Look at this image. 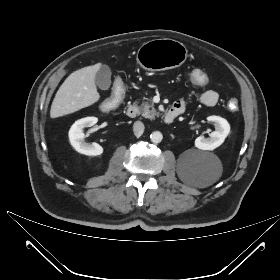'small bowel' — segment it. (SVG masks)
I'll use <instances>...</instances> for the list:
<instances>
[{"label": "small bowel", "mask_w": 280, "mask_h": 280, "mask_svg": "<svg viewBox=\"0 0 280 280\" xmlns=\"http://www.w3.org/2000/svg\"><path fill=\"white\" fill-rule=\"evenodd\" d=\"M199 100L202 104L206 105V106H214L217 104L218 100H219V96L218 94L213 91V90H206L204 92H202L199 96ZM177 107V108H181L182 110L184 109V103L181 100L176 101L172 107Z\"/></svg>", "instance_id": "c3829d8e"}]
</instances>
